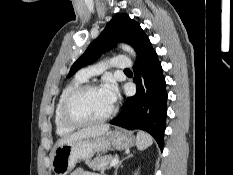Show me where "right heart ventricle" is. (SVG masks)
I'll list each match as a JSON object with an SVG mask.
<instances>
[{
	"instance_id": "right-heart-ventricle-1",
	"label": "right heart ventricle",
	"mask_w": 233,
	"mask_h": 175,
	"mask_svg": "<svg viewBox=\"0 0 233 175\" xmlns=\"http://www.w3.org/2000/svg\"><path fill=\"white\" fill-rule=\"evenodd\" d=\"M86 80H83L79 77L74 78L71 82H69L61 91L59 98L57 100L55 111H54V122L56 126V131L59 135H67L71 133L74 128L66 125L62 118H61V106L64 101V99L67 97V95L73 91L78 86L84 84Z\"/></svg>"
}]
</instances>
